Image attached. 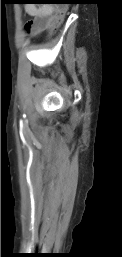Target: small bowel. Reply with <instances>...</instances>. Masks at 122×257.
<instances>
[{
	"mask_svg": "<svg viewBox=\"0 0 122 257\" xmlns=\"http://www.w3.org/2000/svg\"><path fill=\"white\" fill-rule=\"evenodd\" d=\"M26 11L33 16V19L27 25L28 30L33 35L49 30L51 21H55V15H57V11L51 5H28Z\"/></svg>",
	"mask_w": 122,
	"mask_h": 257,
	"instance_id": "1",
	"label": "small bowel"
}]
</instances>
